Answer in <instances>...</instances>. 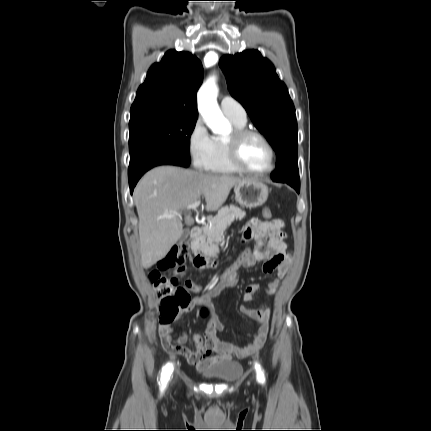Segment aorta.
<instances>
[{
	"label": "aorta",
	"mask_w": 431,
	"mask_h": 431,
	"mask_svg": "<svg viewBox=\"0 0 431 431\" xmlns=\"http://www.w3.org/2000/svg\"><path fill=\"white\" fill-rule=\"evenodd\" d=\"M217 93L216 78L210 77L198 91V110L214 134H224L230 130V124L219 109Z\"/></svg>",
	"instance_id": "762f6f07"
}]
</instances>
